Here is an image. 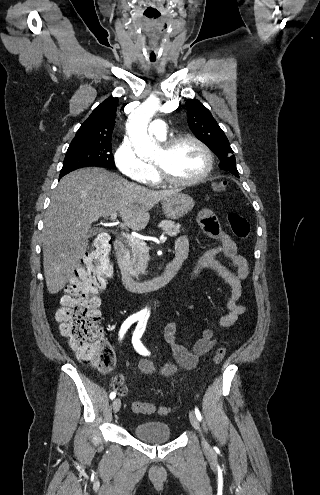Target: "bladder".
Wrapping results in <instances>:
<instances>
[{"mask_svg": "<svg viewBox=\"0 0 320 495\" xmlns=\"http://www.w3.org/2000/svg\"><path fill=\"white\" fill-rule=\"evenodd\" d=\"M134 435L147 443H166L171 439V429L165 422L147 421L137 424Z\"/></svg>", "mask_w": 320, "mask_h": 495, "instance_id": "obj_1", "label": "bladder"}]
</instances>
